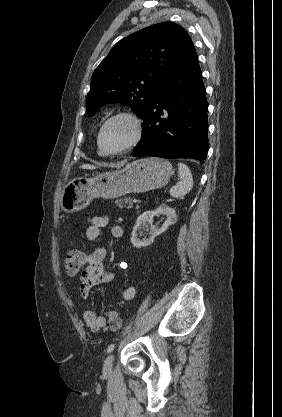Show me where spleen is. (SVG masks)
Instances as JSON below:
<instances>
[{"mask_svg":"<svg viewBox=\"0 0 282 417\" xmlns=\"http://www.w3.org/2000/svg\"><path fill=\"white\" fill-rule=\"evenodd\" d=\"M178 172L181 180L175 186H171L169 192L175 198H183L191 190L193 178L189 166H186L183 162H178Z\"/></svg>","mask_w":282,"mask_h":417,"instance_id":"obj_1","label":"spleen"}]
</instances>
